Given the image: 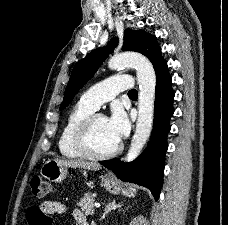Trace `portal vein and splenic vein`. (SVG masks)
<instances>
[{
    "instance_id": "18ae733b",
    "label": "portal vein and splenic vein",
    "mask_w": 228,
    "mask_h": 225,
    "mask_svg": "<svg viewBox=\"0 0 228 225\" xmlns=\"http://www.w3.org/2000/svg\"><path fill=\"white\" fill-rule=\"evenodd\" d=\"M95 207H101V205H99V203H95Z\"/></svg>"
}]
</instances>
